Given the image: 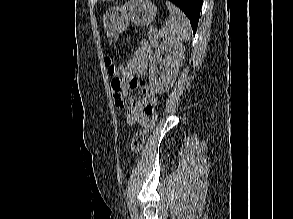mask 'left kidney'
<instances>
[{
	"instance_id": "left-kidney-1",
	"label": "left kidney",
	"mask_w": 293,
	"mask_h": 219,
	"mask_svg": "<svg viewBox=\"0 0 293 219\" xmlns=\"http://www.w3.org/2000/svg\"><path fill=\"white\" fill-rule=\"evenodd\" d=\"M165 56V72L162 78H158L156 72L159 60ZM184 57V46L171 41H163L158 47L149 65V83L153 91L158 94L167 92L178 75Z\"/></svg>"
}]
</instances>
